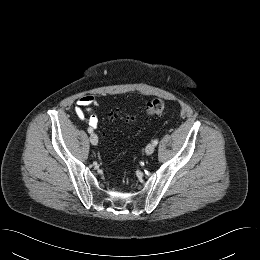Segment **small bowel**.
<instances>
[{
  "mask_svg": "<svg viewBox=\"0 0 260 260\" xmlns=\"http://www.w3.org/2000/svg\"><path fill=\"white\" fill-rule=\"evenodd\" d=\"M98 103V100L93 95H84L80 97L74 107L75 115L82 120H87L89 128L93 130L98 126V118L94 114H90L91 108Z\"/></svg>",
  "mask_w": 260,
  "mask_h": 260,
  "instance_id": "small-bowel-1",
  "label": "small bowel"
}]
</instances>
